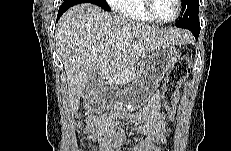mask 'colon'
Masks as SVG:
<instances>
[{
  "instance_id": "1",
  "label": "colon",
  "mask_w": 231,
  "mask_h": 151,
  "mask_svg": "<svg viewBox=\"0 0 231 151\" xmlns=\"http://www.w3.org/2000/svg\"><path fill=\"white\" fill-rule=\"evenodd\" d=\"M190 72V59L180 57L171 67L165 81L163 103L171 119L176 115L177 89Z\"/></svg>"
}]
</instances>
